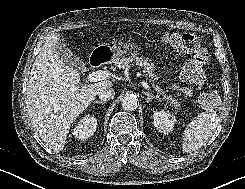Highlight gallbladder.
Masks as SVG:
<instances>
[{
	"mask_svg": "<svg viewBox=\"0 0 245 189\" xmlns=\"http://www.w3.org/2000/svg\"><path fill=\"white\" fill-rule=\"evenodd\" d=\"M56 50L61 58V60L71 69L78 72H82L85 69V63L82 62L77 56L73 55L70 49L59 43L56 45Z\"/></svg>",
	"mask_w": 245,
	"mask_h": 189,
	"instance_id": "gallbladder-1",
	"label": "gallbladder"
}]
</instances>
